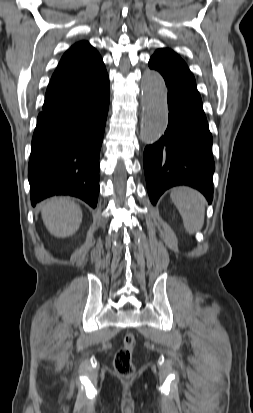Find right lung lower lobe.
<instances>
[{"mask_svg": "<svg viewBox=\"0 0 253 413\" xmlns=\"http://www.w3.org/2000/svg\"><path fill=\"white\" fill-rule=\"evenodd\" d=\"M109 93L107 76L94 93L38 115L28 167L33 206L49 196L71 195L96 207Z\"/></svg>", "mask_w": 253, "mask_h": 413, "instance_id": "1", "label": "right lung lower lobe"}]
</instances>
